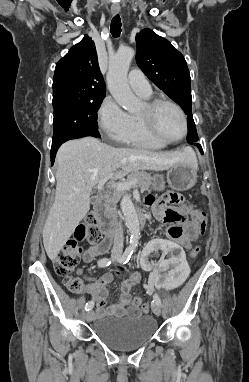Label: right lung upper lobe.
<instances>
[{"instance_id": "right-lung-upper-lobe-1", "label": "right lung upper lobe", "mask_w": 249, "mask_h": 382, "mask_svg": "<svg viewBox=\"0 0 249 382\" xmlns=\"http://www.w3.org/2000/svg\"><path fill=\"white\" fill-rule=\"evenodd\" d=\"M95 44L87 35L57 63L53 79V106L105 97Z\"/></svg>"}]
</instances>
